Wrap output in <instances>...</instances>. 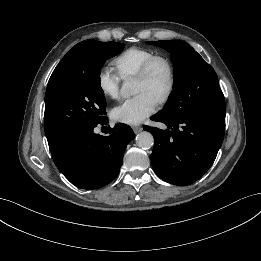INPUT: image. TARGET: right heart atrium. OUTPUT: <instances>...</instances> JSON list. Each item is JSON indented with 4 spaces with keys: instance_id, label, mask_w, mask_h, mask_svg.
Segmentation results:
<instances>
[{
    "instance_id": "right-heart-atrium-1",
    "label": "right heart atrium",
    "mask_w": 261,
    "mask_h": 261,
    "mask_svg": "<svg viewBox=\"0 0 261 261\" xmlns=\"http://www.w3.org/2000/svg\"><path fill=\"white\" fill-rule=\"evenodd\" d=\"M121 78L108 67L100 69L97 75V85L103 96L115 99L120 93Z\"/></svg>"
}]
</instances>
